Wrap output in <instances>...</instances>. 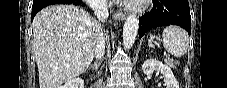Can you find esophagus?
<instances>
[{
    "label": "esophagus",
    "mask_w": 227,
    "mask_h": 88,
    "mask_svg": "<svg viewBox=\"0 0 227 88\" xmlns=\"http://www.w3.org/2000/svg\"><path fill=\"white\" fill-rule=\"evenodd\" d=\"M125 17H126V15H125V13H123V12H115V13L113 14V18H114L115 20H124Z\"/></svg>",
    "instance_id": "esophagus-1"
}]
</instances>
